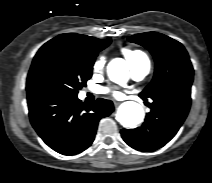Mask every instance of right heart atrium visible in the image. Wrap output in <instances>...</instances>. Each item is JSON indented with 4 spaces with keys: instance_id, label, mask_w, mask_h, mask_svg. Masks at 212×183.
Masks as SVG:
<instances>
[{
    "instance_id": "obj_1",
    "label": "right heart atrium",
    "mask_w": 212,
    "mask_h": 183,
    "mask_svg": "<svg viewBox=\"0 0 212 183\" xmlns=\"http://www.w3.org/2000/svg\"><path fill=\"white\" fill-rule=\"evenodd\" d=\"M104 65H105V57L104 56H100L94 62L93 69H92L93 72L94 73H100V72H102V70L104 68Z\"/></svg>"
}]
</instances>
